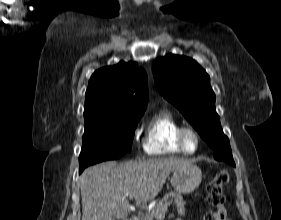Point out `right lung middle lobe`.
I'll return each instance as SVG.
<instances>
[{
	"label": "right lung middle lobe",
	"mask_w": 281,
	"mask_h": 220,
	"mask_svg": "<svg viewBox=\"0 0 281 220\" xmlns=\"http://www.w3.org/2000/svg\"><path fill=\"white\" fill-rule=\"evenodd\" d=\"M142 115L120 118L87 119L83 146L79 156L80 169L105 160L118 159L131 152L132 140Z\"/></svg>",
	"instance_id": "dd1d6c3e"
}]
</instances>
